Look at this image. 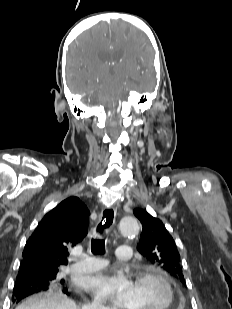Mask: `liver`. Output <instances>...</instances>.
I'll return each instance as SVG.
<instances>
[{"label":"liver","mask_w":232,"mask_h":309,"mask_svg":"<svg viewBox=\"0 0 232 309\" xmlns=\"http://www.w3.org/2000/svg\"><path fill=\"white\" fill-rule=\"evenodd\" d=\"M15 309H79L76 303L61 291L49 290L30 296Z\"/></svg>","instance_id":"6515ba94"}]
</instances>
